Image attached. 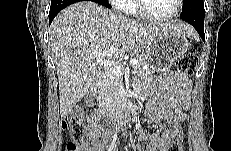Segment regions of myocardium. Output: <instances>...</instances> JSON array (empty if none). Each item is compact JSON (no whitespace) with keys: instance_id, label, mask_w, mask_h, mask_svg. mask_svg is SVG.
Instances as JSON below:
<instances>
[{"instance_id":"myocardium-1","label":"myocardium","mask_w":231,"mask_h":151,"mask_svg":"<svg viewBox=\"0 0 231 151\" xmlns=\"http://www.w3.org/2000/svg\"><path fill=\"white\" fill-rule=\"evenodd\" d=\"M183 1L182 0H175V9L174 11L167 15V16H162V17H157L150 15L146 12L145 7H144V2L143 0H136L135 1V8L137 14L144 20L149 21V22H155V23H164L168 22L172 19H174L180 12L181 6H182Z\"/></svg>"}]
</instances>
